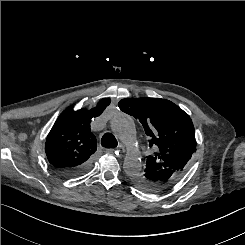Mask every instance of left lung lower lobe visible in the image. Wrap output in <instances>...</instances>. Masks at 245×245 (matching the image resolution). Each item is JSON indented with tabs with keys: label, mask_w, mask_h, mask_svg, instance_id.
Wrapping results in <instances>:
<instances>
[{
	"label": "left lung lower lobe",
	"mask_w": 245,
	"mask_h": 245,
	"mask_svg": "<svg viewBox=\"0 0 245 245\" xmlns=\"http://www.w3.org/2000/svg\"><path fill=\"white\" fill-rule=\"evenodd\" d=\"M180 175L172 172V171H166L161 174H157L153 176V185H152V192L151 193H157L164 191L168 188H170L178 179Z\"/></svg>",
	"instance_id": "obj_1"
}]
</instances>
